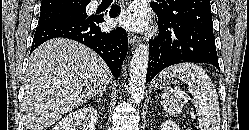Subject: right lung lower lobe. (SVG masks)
<instances>
[{
	"label": "right lung lower lobe",
	"mask_w": 249,
	"mask_h": 130,
	"mask_svg": "<svg viewBox=\"0 0 249 130\" xmlns=\"http://www.w3.org/2000/svg\"><path fill=\"white\" fill-rule=\"evenodd\" d=\"M119 12L120 6L114 5L109 11V16L115 18ZM102 22H104L102 15H91L86 18L39 25L36 28L30 53L52 38L63 37L76 40L97 52L106 62L113 76L117 78L127 54V33L119 27L110 32H103L98 26Z\"/></svg>",
	"instance_id": "1"
}]
</instances>
